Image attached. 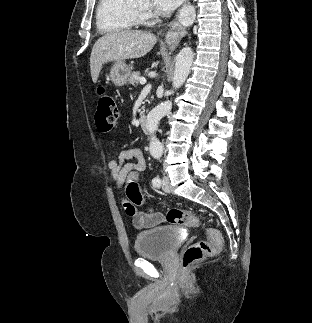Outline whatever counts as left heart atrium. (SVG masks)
<instances>
[{"instance_id":"1","label":"left heart atrium","mask_w":312,"mask_h":323,"mask_svg":"<svg viewBox=\"0 0 312 323\" xmlns=\"http://www.w3.org/2000/svg\"><path fill=\"white\" fill-rule=\"evenodd\" d=\"M182 3L183 0H150L148 7L160 8L161 12H175V8H178Z\"/></svg>"}]
</instances>
